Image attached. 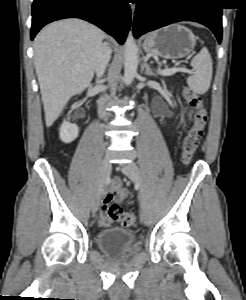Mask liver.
<instances>
[{"label":"liver","instance_id":"6515ba94","mask_svg":"<svg viewBox=\"0 0 246 300\" xmlns=\"http://www.w3.org/2000/svg\"><path fill=\"white\" fill-rule=\"evenodd\" d=\"M104 33L80 19L53 22L34 40V65L50 127L69 99L91 83Z\"/></svg>","mask_w":246,"mask_h":300}]
</instances>
